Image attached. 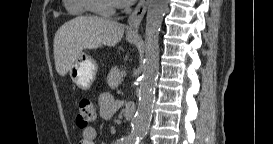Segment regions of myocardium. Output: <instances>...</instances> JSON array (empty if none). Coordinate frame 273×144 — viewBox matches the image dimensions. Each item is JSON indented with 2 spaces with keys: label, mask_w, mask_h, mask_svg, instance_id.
Returning a JSON list of instances; mask_svg holds the SVG:
<instances>
[{
  "label": "myocardium",
  "mask_w": 273,
  "mask_h": 144,
  "mask_svg": "<svg viewBox=\"0 0 273 144\" xmlns=\"http://www.w3.org/2000/svg\"><path fill=\"white\" fill-rule=\"evenodd\" d=\"M87 8L96 14L108 15L116 11L117 5L105 4L103 0H87Z\"/></svg>",
  "instance_id": "1"
}]
</instances>
